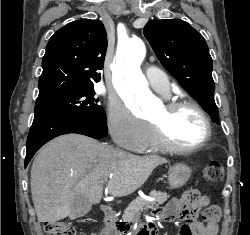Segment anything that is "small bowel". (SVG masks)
Segmentation results:
<instances>
[{
	"instance_id": "c3829d8e",
	"label": "small bowel",
	"mask_w": 250,
	"mask_h": 235,
	"mask_svg": "<svg viewBox=\"0 0 250 235\" xmlns=\"http://www.w3.org/2000/svg\"><path fill=\"white\" fill-rule=\"evenodd\" d=\"M210 203L206 194L196 190L185 191L179 199H172L164 207L154 210L155 220L173 221L177 216L183 220L178 235H217L218 225H203L196 220V214ZM90 235H98L91 233ZM100 235V234H99Z\"/></svg>"
}]
</instances>
